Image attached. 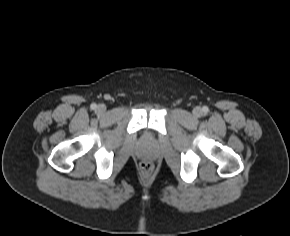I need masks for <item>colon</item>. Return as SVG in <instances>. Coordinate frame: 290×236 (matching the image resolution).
<instances>
[{
	"instance_id": "colon-1",
	"label": "colon",
	"mask_w": 290,
	"mask_h": 236,
	"mask_svg": "<svg viewBox=\"0 0 290 236\" xmlns=\"http://www.w3.org/2000/svg\"><path fill=\"white\" fill-rule=\"evenodd\" d=\"M140 167H141L142 172L146 174L150 173L153 169L152 164L147 161L142 162Z\"/></svg>"
}]
</instances>
